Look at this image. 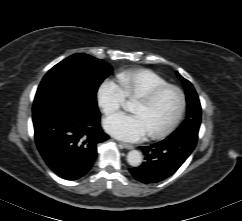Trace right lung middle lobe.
Listing matches in <instances>:
<instances>
[{"instance_id": "dd1d6c3e", "label": "right lung middle lobe", "mask_w": 242, "mask_h": 221, "mask_svg": "<svg viewBox=\"0 0 242 221\" xmlns=\"http://www.w3.org/2000/svg\"><path fill=\"white\" fill-rule=\"evenodd\" d=\"M112 67L87 54H74L61 61L44 76L33 104V112L60 107L80 114L95 112L96 92Z\"/></svg>"}]
</instances>
